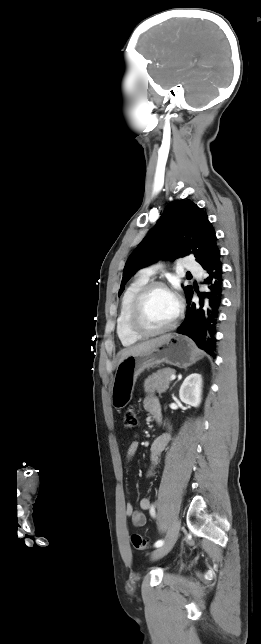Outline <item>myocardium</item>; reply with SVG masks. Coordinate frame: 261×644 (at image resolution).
<instances>
[{
    "label": "myocardium",
    "mask_w": 261,
    "mask_h": 644,
    "mask_svg": "<svg viewBox=\"0 0 261 644\" xmlns=\"http://www.w3.org/2000/svg\"><path fill=\"white\" fill-rule=\"evenodd\" d=\"M154 289H163L172 293L170 288L164 282H161V281H148L137 292L131 304L129 319H128V326L130 331L139 338H149V337L161 335L173 330L177 326L180 320V317L182 315V305L179 303L177 313L174 319L168 325L154 330L145 328L141 320L142 308H143L145 299L147 298L149 293Z\"/></svg>",
    "instance_id": "myocardium-1"
}]
</instances>
